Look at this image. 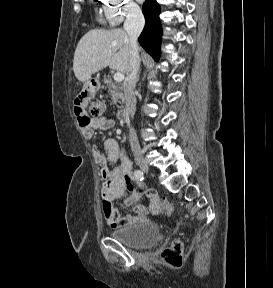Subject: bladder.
Segmentation results:
<instances>
[{"label":"bladder","instance_id":"31cf9c89","mask_svg":"<svg viewBox=\"0 0 273 288\" xmlns=\"http://www.w3.org/2000/svg\"><path fill=\"white\" fill-rule=\"evenodd\" d=\"M110 236L117 242L132 249H148L161 239L159 227L153 222L128 225L114 230Z\"/></svg>","mask_w":273,"mask_h":288}]
</instances>
